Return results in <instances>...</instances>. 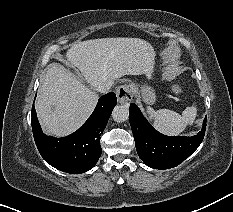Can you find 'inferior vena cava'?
I'll return each mask as SVG.
<instances>
[{"instance_id": "obj_1", "label": "inferior vena cava", "mask_w": 233, "mask_h": 212, "mask_svg": "<svg viewBox=\"0 0 233 212\" xmlns=\"http://www.w3.org/2000/svg\"><path fill=\"white\" fill-rule=\"evenodd\" d=\"M111 86H112L111 82H103L98 84L95 90L101 94H106L110 91Z\"/></svg>"}]
</instances>
